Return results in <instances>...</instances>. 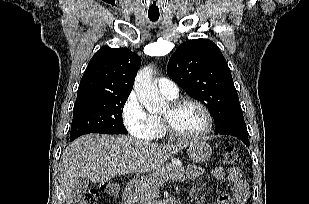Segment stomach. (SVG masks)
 Here are the masks:
<instances>
[{
  "label": "stomach",
  "mask_w": 309,
  "mask_h": 204,
  "mask_svg": "<svg viewBox=\"0 0 309 204\" xmlns=\"http://www.w3.org/2000/svg\"><path fill=\"white\" fill-rule=\"evenodd\" d=\"M187 152L194 163H203L209 159L212 148L204 140L196 139L189 143Z\"/></svg>",
  "instance_id": "1"
}]
</instances>
